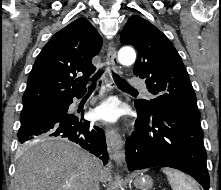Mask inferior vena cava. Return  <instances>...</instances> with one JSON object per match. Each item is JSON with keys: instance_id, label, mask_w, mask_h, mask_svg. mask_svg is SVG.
<instances>
[{"instance_id": "inferior-vena-cava-1", "label": "inferior vena cava", "mask_w": 221, "mask_h": 190, "mask_svg": "<svg viewBox=\"0 0 221 190\" xmlns=\"http://www.w3.org/2000/svg\"><path fill=\"white\" fill-rule=\"evenodd\" d=\"M101 167L102 165L99 160L92 163L86 190H99V184L101 181Z\"/></svg>"}]
</instances>
